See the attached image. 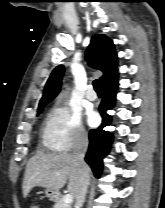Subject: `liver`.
<instances>
[{
	"instance_id": "liver-1",
	"label": "liver",
	"mask_w": 165,
	"mask_h": 208,
	"mask_svg": "<svg viewBox=\"0 0 165 208\" xmlns=\"http://www.w3.org/2000/svg\"><path fill=\"white\" fill-rule=\"evenodd\" d=\"M88 176L89 178L91 176L89 167ZM67 179H69L68 191L76 199L81 187V180L71 154L39 152L27 163L22 186L23 196L27 197L35 186L59 193Z\"/></svg>"
}]
</instances>
